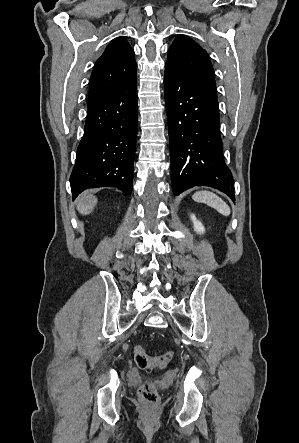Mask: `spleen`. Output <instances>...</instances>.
<instances>
[{
	"mask_svg": "<svg viewBox=\"0 0 299 443\" xmlns=\"http://www.w3.org/2000/svg\"><path fill=\"white\" fill-rule=\"evenodd\" d=\"M192 198L196 202L204 203L214 208L223 216L230 215L231 210L230 207L227 205V203L224 200H222L219 196L210 191L204 190L196 192L193 194Z\"/></svg>",
	"mask_w": 299,
	"mask_h": 443,
	"instance_id": "3e777b00",
	"label": "spleen"
}]
</instances>
